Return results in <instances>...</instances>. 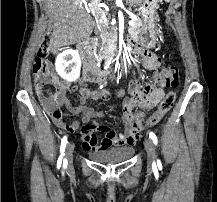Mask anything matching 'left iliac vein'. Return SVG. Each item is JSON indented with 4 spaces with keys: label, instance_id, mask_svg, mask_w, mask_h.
Instances as JSON below:
<instances>
[{
    "label": "left iliac vein",
    "instance_id": "left-iliac-vein-1",
    "mask_svg": "<svg viewBox=\"0 0 217 202\" xmlns=\"http://www.w3.org/2000/svg\"><path fill=\"white\" fill-rule=\"evenodd\" d=\"M144 146H145V149L147 152V158H148L149 166H153L155 163V158H156L155 157V146H154L152 140L149 138H146L144 140Z\"/></svg>",
    "mask_w": 217,
    "mask_h": 202
}]
</instances>
